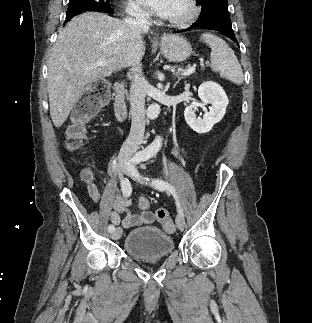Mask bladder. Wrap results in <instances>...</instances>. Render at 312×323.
Masks as SVG:
<instances>
[{
    "label": "bladder",
    "instance_id": "1",
    "mask_svg": "<svg viewBox=\"0 0 312 323\" xmlns=\"http://www.w3.org/2000/svg\"><path fill=\"white\" fill-rule=\"evenodd\" d=\"M124 243L126 252L138 259L164 258L174 247L173 238L154 226L130 230Z\"/></svg>",
    "mask_w": 312,
    "mask_h": 323
}]
</instances>
